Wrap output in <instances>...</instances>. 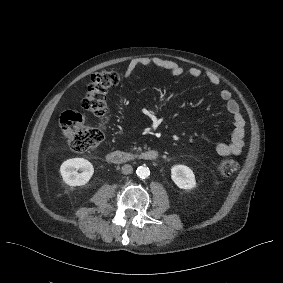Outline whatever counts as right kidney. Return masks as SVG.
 <instances>
[{"instance_id": "1", "label": "right kidney", "mask_w": 283, "mask_h": 283, "mask_svg": "<svg viewBox=\"0 0 283 283\" xmlns=\"http://www.w3.org/2000/svg\"><path fill=\"white\" fill-rule=\"evenodd\" d=\"M78 170L81 173H78ZM60 172L66 184L81 186L89 182L94 173V168L91 162L84 158H72L62 163Z\"/></svg>"}]
</instances>
